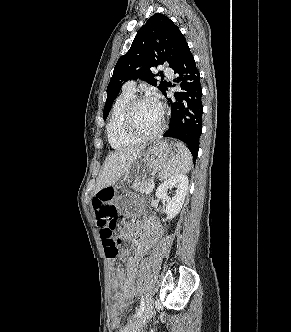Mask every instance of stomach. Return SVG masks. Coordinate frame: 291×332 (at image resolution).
<instances>
[{
  "label": "stomach",
  "instance_id": "obj_1",
  "mask_svg": "<svg viewBox=\"0 0 291 332\" xmlns=\"http://www.w3.org/2000/svg\"><path fill=\"white\" fill-rule=\"evenodd\" d=\"M176 154L174 147L169 142L155 141L151 146L139 153L138 159L133 164V168L137 172L142 169L158 171L163 169ZM134 199H136L135 196L122 190L121 194L117 195L114 205L122 213L128 208L129 202Z\"/></svg>",
  "mask_w": 291,
  "mask_h": 332
}]
</instances>
